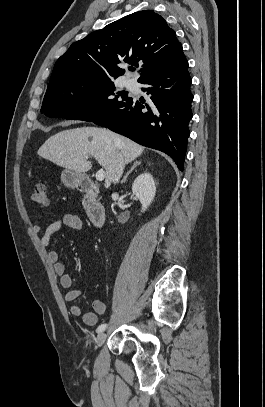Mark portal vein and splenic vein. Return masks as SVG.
I'll list each match as a JSON object with an SVG mask.
<instances>
[{"mask_svg": "<svg viewBox=\"0 0 265 407\" xmlns=\"http://www.w3.org/2000/svg\"><path fill=\"white\" fill-rule=\"evenodd\" d=\"M86 158H88V157H86ZM104 178H105V171H103V170L97 171L96 180L97 181H102V180H104Z\"/></svg>", "mask_w": 265, "mask_h": 407, "instance_id": "obj_1", "label": "portal vein and splenic vein"}]
</instances>
